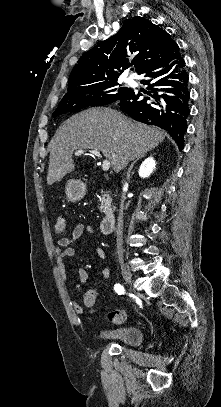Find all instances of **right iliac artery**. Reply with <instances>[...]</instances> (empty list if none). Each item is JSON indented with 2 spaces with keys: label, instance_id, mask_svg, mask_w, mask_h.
<instances>
[{
  "label": "right iliac artery",
  "instance_id": "1",
  "mask_svg": "<svg viewBox=\"0 0 221 407\" xmlns=\"http://www.w3.org/2000/svg\"><path fill=\"white\" fill-rule=\"evenodd\" d=\"M114 290H115V292H117L119 295L125 293L124 287H123L122 285H120V284H115Z\"/></svg>",
  "mask_w": 221,
  "mask_h": 407
}]
</instances>
